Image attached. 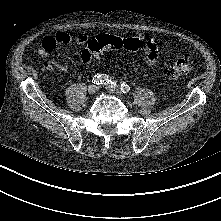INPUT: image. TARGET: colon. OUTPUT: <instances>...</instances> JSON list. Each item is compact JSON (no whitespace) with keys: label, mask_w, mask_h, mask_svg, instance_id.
<instances>
[{"label":"colon","mask_w":221,"mask_h":221,"mask_svg":"<svg viewBox=\"0 0 221 221\" xmlns=\"http://www.w3.org/2000/svg\"><path fill=\"white\" fill-rule=\"evenodd\" d=\"M145 49V41L139 37H117L103 34L90 39L87 48L82 52V59H98L102 54L111 50H125L129 52H141ZM192 69L189 58L180 56L165 70L169 78H179L187 75Z\"/></svg>","instance_id":"1"}]
</instances>
